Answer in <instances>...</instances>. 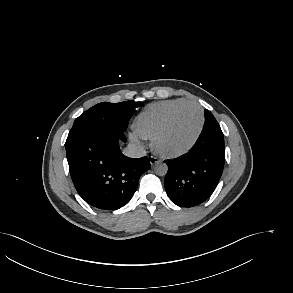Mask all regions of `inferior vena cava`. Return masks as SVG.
I'll list each match as a JSON object with an SVG mask.
<instances>
[{"label":"inferior vena cava","mask_w":293,"mask_h":293,"mask_svg":"<svg viewBox=\"0 0 293 293\" xmlns=\"http://www.w3.org/2000/svg\"><path fill=\"white\" fill-rule=\"evenodd\" d=\"M124 155L131 157V158H140L146 154L144 147L138 144H129L124 150Z\"/></svg>","instance_id":"1"}]
</instances>
